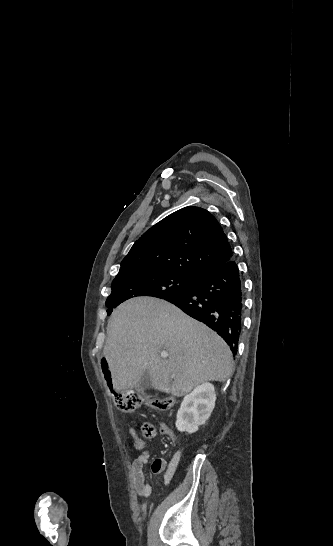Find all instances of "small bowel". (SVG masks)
Here are the masks:
<instances>
[{
    "label": "small bowel",
    "instance_id": "c3829d8e",
    "mask_svg": "<svg viewBox=\"0 0 333 546\" xmlns=\"http://www.w3.org/2000/svg\"><path fill=\"white\" fill-rule=\"evenodd\" d=\"M160 433L174 442L175 437L172 430L165 424H160ZM133 446L139 451L138 456L132 462V477L135 490L141 497H149L151 494V486L146 482L144 468L150 461V454L146 449L145 442L132 432ZM181 460V452L175 451L171 461L166 462L161 458H156L152 462V471L154 473L164 472L165 477L170 479L176 471Z\"/></svg>",
    "mask_w": 333,
    "mask_h": 546
}]
</instances>
